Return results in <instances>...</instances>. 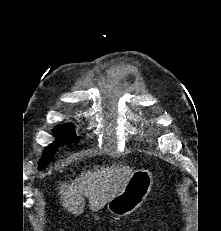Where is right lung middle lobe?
Listing matches in <instances>:
<instances>
[{"label":"right lung middle lobe","instance_id":"1","mask_svg":"<svg viewBox=\"0 0 221 231\" xmlns=\"http://www.w3.org/2000/svg\"><path fill=\"white\" fill-rule=\"evenodd\" d=\"M53 133L58 140L45 149L43 158L40 161L41 168L46 166V164L51 160L55 153L54 150L60 145L61 142L66 141L68 143H72L77 141V137L74 135L73 126L70 124L56 126Z\"/></svg>","mask_w":221,"mask_h":231}]
</instances>
